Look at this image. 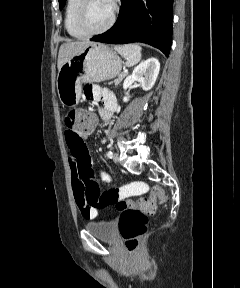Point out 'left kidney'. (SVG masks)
<instances>
[{
    "label": "left kidney",
    "mask_w": 240,
    "mask_h": 288,
    "mask_svg": "<svg viewBox=\"0 0 240 288\" xmlns=\"http://www.w3.org/2000/svg\"><path fill=\"white\" fill-rule=\"evenodd\" d=\"M159 70L160 63L158 59L151 57L143 61L133 70L131 75L126 77L123 83V89L126 90L134 82H139L143 90H150L156 82ZM123 101L128 102L129 97L125 96Z\"/></svg>",
    "instance_id": "left-kidney-1"
}]
</instances>
